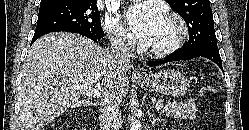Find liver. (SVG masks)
I'll list each match as a JSON object with an SVG mask.
<instances>
[{"label":"liver","mask_w":249,"mask_h":130,"mask_svg":"<svg viewBox=\"0 0 249 130\" xmlns=\"http://www.w3.org/2000/svg\"><path fill=\"white\" fill-rule=\"evenodd\" d=\"M129 72V65L115 64L108 50L84 36H42L29 49L22 68L19 130H41L69 108L95 105L91 96L80 99L77 86L97 91L101 103L121 102L129 91Z\"/></svg>","instance_id":"1"}]
</instances>
